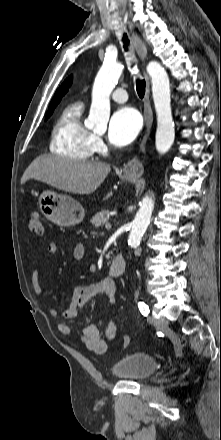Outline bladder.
Returning a JSON list of instances; mask_svg holds the SVG:
<instances>
[{"instance_id":"31cf9c89","label":"bladder","mask_w":221,"mask_h":440,"mask_svg":"<svg viewBox=\"0 0 221 440\" xmlns=\"http://www.w3.org/2000/svg\"><path fill=\"white\" fill-rule=\"evenodd\" d=\"M156 360L141 352L130 353L121 357L111 367V374L126 381H143L157 369Z\"/></svg>"}]
</instances>
